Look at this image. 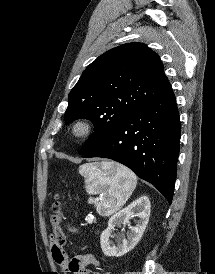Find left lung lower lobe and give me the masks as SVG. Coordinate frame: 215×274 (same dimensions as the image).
Segmentation results:
<instances>
[{
	"mask_svg": "<svg viewBox=\"0 0 215 274\" xmlns=\"http://www.w3.org/2000/svg\"><path fill=\"white\" fill-rule=\"evenodd\" d=\"M180 120L171 85L126 116L82 157H101L130 168L172 202L179 155Z\"/></svg>",
	"mask_w": 215,
	"mask_h": 274,
	"instance_id": "0a47b994",
	"label": "left lung lower lobe"
}]
</instances>
